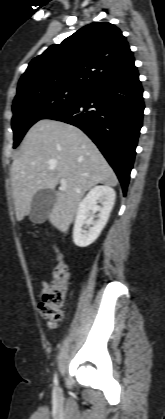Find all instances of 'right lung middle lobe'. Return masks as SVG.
Masks as SVG:
<instances>
[{
	"mask_svg": "<svg viewBox=\"0 0 165 419\" xmlns=\"http://www.w3.org/2000/svg\"><path fill=\"white\" fill-rule=\"evenodd\" d=\"M86 91L54 87L43 89L13 101L12 129L14 145L17 147L27 130L47 114L59 110L68 104L79 101L86 95Z\"/></svg>",
	"mask_w": 165,
	"mask_h": 419,
	"instance_id": "right-lung-middle-lobe-1",
	"label": "right lung middle lobe"
}]
</instances>
